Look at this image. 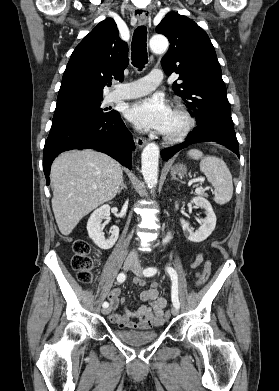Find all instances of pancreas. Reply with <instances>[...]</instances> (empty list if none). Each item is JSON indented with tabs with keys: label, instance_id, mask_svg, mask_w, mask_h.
Returning <instances> with one entry per match:
<instances>
[{
	"label": "pancreas",
	"instance_id": "cf45deb5",
	"mask_svg": "<svg viewBox=\"0 0 279 391\" xmlns=\"http://www.w3.org/2000/svg\"><path fill=\"white\" fill-rule=\"evenodd\" d=\"M200 195L203 196V197H208V194L205 193V192H201Z\"/></svg>",
	"mask_w": 279,
	"mask_h": 391
}]
</instances>
